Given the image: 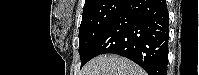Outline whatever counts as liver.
I'll return each mask as SVG.
<instances>
[{"label": "liver", "mask_w": 199, "mask_h": 75, "mask_svg": "<svg viewBox=\"0 0 199 75\" xmlns=\"http://www.w3.org/2000/svg\"><path fill=\"white\" fill-rule=\"evenodd\" d=\"M81 75H146V73L131 60L106 54L90 60L84 66Z\"/></svg>", "instance_id": "liver-1"}]
</instances>
